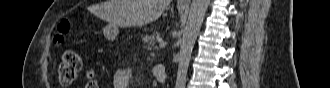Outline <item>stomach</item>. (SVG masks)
Segmentation results:
<instances>
[{"label":"stomach","mask_w":330,"mask_h":88,"mask_svg":"<svg viewBox=\"0 0 330 88\" xmlns=\"http://www.w3.org/2000/svg\"><path fill=\"white\" fill-rule=\"evenodd\" d=\"M118 30L116 25H108L104 29V34L108 39H115L117 36Z\"/></svg>","instance_id":"obj_1"}]
</instances>
